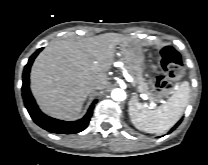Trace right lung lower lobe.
<instances>
[{
  "label": "right lung lower lobe",
  "instance_id": "right-lung-lower-lobe-1",
  "mask_svg": "<svg viewBox=\"0 0 208 165\" xmlns=\"http://www.w3.org/2000/svg\"><path fill=\"white\" fill-rule=\"evenodd\" d=\"M42 50V48L38 49L29 59L23 71V85H22V96L24 99L25 107L27 108L31 118L33 121L39 125L41 128L54 132V133H64V134H72L78 133L86 129L89 124L94 104L97 102L95 100L93 104L90 106L87 114L80 120L74 122L61 121L43 114L38 108L31 92L29 89V72L31 65L38 55V53Z\"/></svg>",
  "mask_w": 208,
  "mask_h": 165
}]
</instances>
